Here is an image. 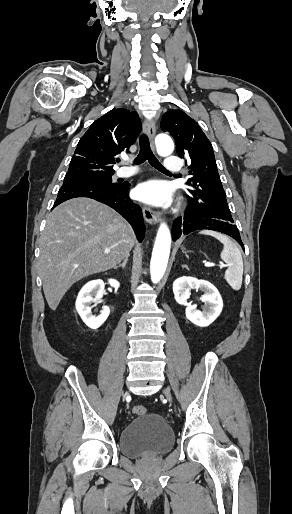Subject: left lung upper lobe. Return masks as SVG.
Returning <instances> with one entry per match:
<instances>
[{
  "label": "left lung upper lobe",
  "mask_w": 292,
  "mask_h": 514,
  "mask_svg": "<svg viewBox=\"0 0 292 514\" xmlns=\"http://www.w3.org/2000/svg\"><path fill=\"white\" fill-rule=\"evenodd\" d=\"M161 129L171 133L177 155L189 165L188 198L201 202L207 211L230 213L212 145L198 123L181 110H170L162 117Z\"/></svg>",
  "instance_id": "1"
}]
</instances>
